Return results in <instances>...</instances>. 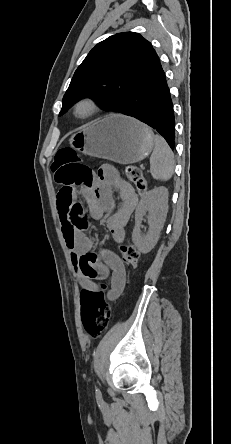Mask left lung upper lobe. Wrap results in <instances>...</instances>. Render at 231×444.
<instances>
[{
    "instance_id": "5c2ea615",
    "label": "left lung upper lobe",
    "mask_w": 231,
    "mask_h": 444,
    "mask_svg": "<svg viewBox=\"0 0 231 444\" xmlns=\"http://www.w3.org/2000/svg\"><path fill=\"white\" fill-rule=\"evenodd\" d=\"M158 57L140 34L123 32L98 43L79 65L63 97L60 115L83 97H91L108 111L119 112Z\"/></svg>"
}]
</instances>
